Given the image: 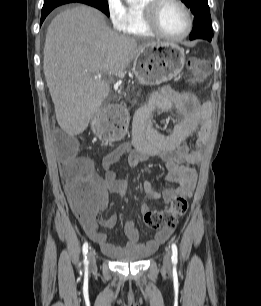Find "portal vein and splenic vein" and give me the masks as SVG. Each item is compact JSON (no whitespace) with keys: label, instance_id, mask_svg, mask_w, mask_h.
<instances>
[{"label":"portal vein and splenic vein","instance_id":"portal-vein-and-splenic-vein-1","mask_svg":"<svg viewBox=\"0 0 261 306\" xmlns=\"http://www.w3.org/2000/svg\"><path fill=\"white\" fill-rule=\"evenodd\" d=\"M118 76H119V77H123V76H124V73H123V72H119V73H118Z\"/></svg>","mask_w":261,"mask_h":306}]
</instances>
